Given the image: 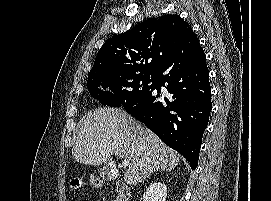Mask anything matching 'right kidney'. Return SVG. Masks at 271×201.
Returning <instances> with one entry per match:
<instances>
[{
	"instance_id": "right-kidney-1",
	"label": "right kidney",
	"mask_w": 271,
	"mask_h": 201,
	"mask_svg": "<svg viewBox=\"0 0 271 201\" xmlns=\"http://www.w3.org/2000/svg\"><path fill=\"white\" fill-rule=\"evenodd\" d=\"M167 187L161 182L151 184L143 194V201H166Z\"/></svg>"
}]
</instances>
